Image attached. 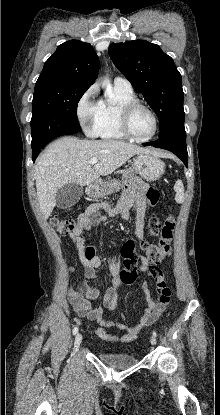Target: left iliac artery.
Listing matches in <instances>:
<instances>
[{"mask_svg": "<svg viewBox=\"0 0 220 415\" xmlns=\"http://www.w3.org/2000/svg\"><path fill=\"white\" fill-rule=\"evenodd\" d=\"M153 335L156 337L157 336V334H156V332L155 331H153Z\"/></svg>", "mask_w": 220, "mask_h": 415, "instance_id": "obj_1", "label": "left iliac artery"}]
</instances>
